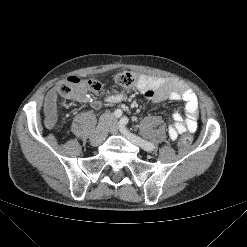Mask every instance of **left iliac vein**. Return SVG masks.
<instances>
[{"label":"left iliac vein","mask_w":247,"mask_h":247,"mask_svg":"<svg viewBox=\"0 0 247 247\" xmlns=\"http://www.w3.org/2000/svg\"><path fill=\"white\" fill-rule=\"evenodd\" d=\"M109 132L112 133V134H117L118 133V126H117V123L116 121H114L110 127H109ZM121 132V131H120ZM121 134L127 139L129 140L130 142L138 145L137 143V140H135L129 133H126V132H121Z\"/></svg>","instance_id":"obj_1"}]
</instances>
